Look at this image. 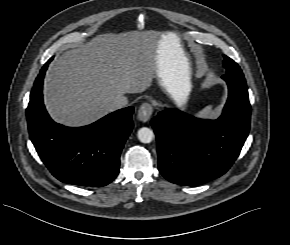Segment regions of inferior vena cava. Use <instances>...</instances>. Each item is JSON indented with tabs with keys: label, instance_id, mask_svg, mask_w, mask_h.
I'll use <instances>...</instances> for the list:
<instances>
[{
	"label": "inferior vena cava",
	"instance_id": "inferior-vena-cava-1",
	"mask_svg": "<svg viewBox=\"0 0 290 245\" xmlns=\"http://www.w3.org/2000/svg\"><path fill=\"white\" fill-rule=\"evenodd\" d=\"M127 103H128L127 99L123 97H119L113 102V107L114 109H120V108L126 107Z\"/></svg>",
	"mask_w": 290,
	"mask_h": 245
}]
</instances>
